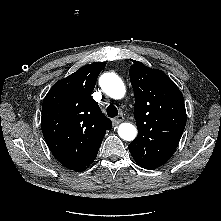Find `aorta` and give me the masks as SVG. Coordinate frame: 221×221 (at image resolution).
Listing matches in <instances>:
<instances>
[{
    "label": "aorta",
    "instance_id": "762f6f07",
    "mask_svg": "<svg viewBox=\"0 0 221 221\" xmlns=\"http://www.w3.org/2000/svg\"><path fill=\"white\" fill-rule=\"evenodd\" d=\"M99 84L103 92L113 99H121L125 95V85L115 73H104ZM118 135L125 141H132L137 135V128L131 123H122L118 127Z\"/></svg>",
    "mask_w": 221,
    "mask_h": 221
}]
</instances>
